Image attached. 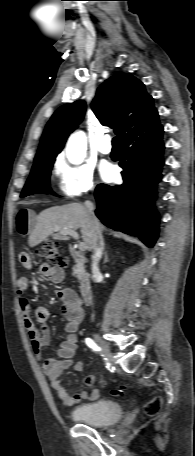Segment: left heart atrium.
Instances as JSON below:
<instances>
[{
    "instance_id": "left-heart-atrium-1",
    "label": "left heart atrium",
    "mask_w": 195,
    "mask_h": 456,
    "mask_svg": "<svg viewBox=\"0 0 195 456\" xmlns=\"http://www.w3.org/2000/svg\"><path fill=\"white\" fill-rule=\"evenodd\" d=\"M101 176L104 180L110 181L115 176V169L110 164H105L100 169Z\"/></svg>"
}]
</instances>
